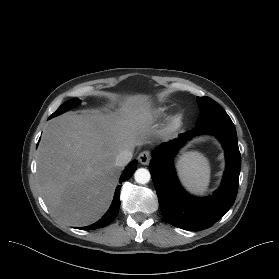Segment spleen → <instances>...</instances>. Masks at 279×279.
<instances>
[{
    "label": "spleen",
    "mask_w": 279,
    "mask_h": 279,
    "mask_svg": "<svg viewBox=\"0 0 279 279\" xmlns=\"http://www.w3.org/2000/svg\"><path fill=\"white\" fill-rule=\"evenodd\" d=\"M178 173L183 185L190 192L203 195L210 181V165L208 159L199 152L182 155L178 162Z\"/></svg>",
    "instance_id": "1"
}]
</instances>
